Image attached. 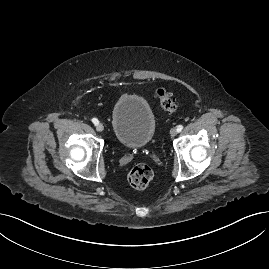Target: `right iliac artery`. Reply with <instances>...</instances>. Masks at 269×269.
I'll list each match as a JSON object with an SVG mask.
<instances>
[{
    "mask_svg": "<svg viewBox=\"0 0 269 269\" xmlns=\"http://www.w3.org/2000/svg\"><path fill=\"white\" fill-rule=\"evenodd\" d=\"M92 122L94 123V125L99 124V121H98V119H96V118H93V119H92Z\"/></svg>",
    "mask_w": 269,
    "mask_h": 269,
    "instance_id": "82829eb1",
    "label": "right iliac artery"
}]
</instances>
